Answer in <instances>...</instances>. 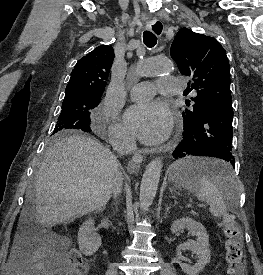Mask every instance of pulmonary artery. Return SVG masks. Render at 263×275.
Instances as JSON below:
<instances>
[{"mask_svg":"<svg viewBox=\"0 0 263 275\" xmlns=\"http://www.w3.org/2000/svg\"><path fill=\"white\" fill-rule=\"evenodd\" d=\"M182 84L179 78L176 77H162L156 84L144 81L135 85L130 95L133 100L144 101L152 98L156 93L173 96L177 95L181 90Z\"/></svg>","mask_w":263,"mask_h":275,"instance_id":"pulmonary-artery-1","label":"pulmonary artery"}]
</instances>
